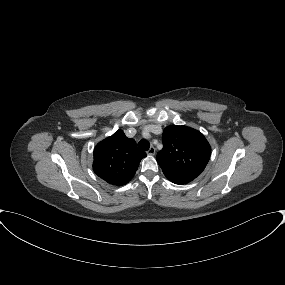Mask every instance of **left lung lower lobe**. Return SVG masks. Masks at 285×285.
I'll return each mask as SVG.
<instances>
[{
    "instance_id": "left-lung-lower-lobe-1",
    "label": "left lung lower lobe",
    "mask_w": 285,
    "mask_h": 285,
    "mask_svg": "<svg viewBox=\"0 0 285 285\" xmlns=\"http://www.w3.org/2000/svg\"><path fill=\"white\" fill-rule=\"evenodd\" d=\"M171 182L175 183V184H179V185H183L186 183L191 182L192 180H187V179H183V178H174V177H167Z\"/></svg>"
}]
</instances>
